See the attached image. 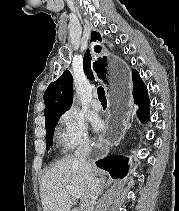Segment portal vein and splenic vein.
<instances>
[{
	"mask_svg": "<svg viewBox=\"0 0 179 211\" xmlns=\"http://www.w3.org/2000/svg\"><path fill=\"white\" fill-rule=\"evenodd\" d=\"M66 188L71 196H73L74 198H80L81 194L78 189H76L72 186H67Z\"/></svg>",
	"mask_w": 179,
	"mask_h": 211,
	"instance_id": "obj_1",
	"label": "portal vein and splenic vein"
}]
</instances>
